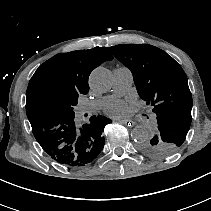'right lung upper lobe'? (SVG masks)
Returning <instances> with one entry per match:
<instances>
[{
    "mask_svg": "<svg viewBox=\"0 0 211 211\" xmlns=\"http://www.w3.org/2000/svg\"><path fill=\"white\" fill-rule=\"evenodd\" d=\"M113 56L105 47L61 53L44 62L32 76L26 93L30 123L45 120L52 103L78 98L89 91L88 77L93 69Z\"/></svg>",
    "mask_w": 211,
    "mask_h": 211,
    "instance_id": "1",
    "label": "right lung upper lobe"
}]
</instances>
